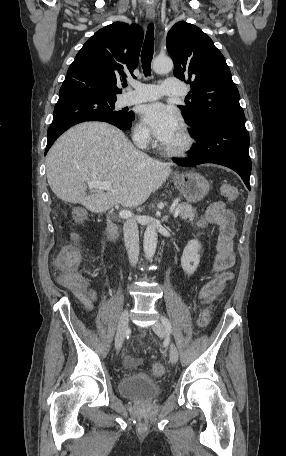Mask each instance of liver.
Returning <instances> with one entry per match:
<instances>
[{"label":"liver","mask_w":286,"mask_h":456,"mask_svg":"<svg viewBox=\"0 0 286 456\" xmlns=\"http://www.w3.org/2000/svg\"><path fill=\"white\" fill-rule=\"evenodd\" d=\"M46 173L48 184L59 199L102 213L116 204H143L162 186L171 168L137 150L116 127L86 122L66 131L52 145L46 158ZM90 180L108 181L112 190L87 195Z\"/></svg>","instance_id":"obj_1"}]
</instances>
